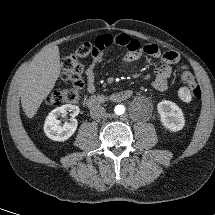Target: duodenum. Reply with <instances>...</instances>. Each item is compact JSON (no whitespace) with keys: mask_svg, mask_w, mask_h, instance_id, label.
Returning a JSON list of instances; mask_svg holds the SVG:
<instances>
[{"mask_svg":"<svg viewBox=\"0 0 215 215\" xmlns=\"http://www.w3.org/2000/svg\"><path fill=\"white\" fill-rule=\"evenodd\" d=\"M131 94H132V92L129 89L115 92V93L111 94L110 96L94 94V95L89 96L86 99L85 104L88 107H96V106L102 105L109 101L119 103V102L129 99Z\"/></svg>","mask_w":215,"mask_h":215,"instance_id":"duodenum-1","label":"duodenum"}]
</instances>
